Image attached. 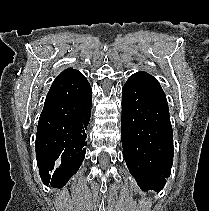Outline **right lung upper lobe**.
Segmentation results:
<instances>
[{
    "mask_svg": "<svg viewBox=\"0 0 209 211\" xmlns=\"http://www.w3.org/2000/svg\"><path fill=\"white\" fill-rule=\"evenodd\" d=\"M73 71H75V70H73L72 68H68V69L64 70L63 72H61L58 75V77L54 80V82L59 80V79H61V78H63V77H65L66 75L72 73Z\"/></svg>",
    "mask_w": 209,
    "mask_h": 211,
    "instance_id": "right-lung-upper-lobe-1",
    "label": "right lung upper lobe"
}]
</instances>
